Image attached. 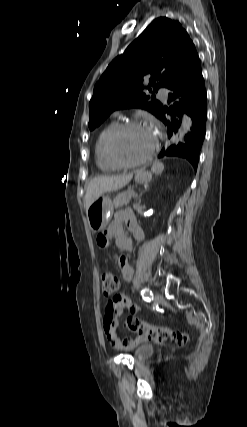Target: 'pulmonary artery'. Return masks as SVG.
Listing matches in <instances>:
<instances>
[{
    "label": "pulmonary artery",
    "mask_w": 247,
    "mask_h": 427,
    "mask_svg": "<svg viewBox=\"0 0 247 427\" xmlns=\"http://www.w3.org/2000/svg\"><path fill=\"white\" fill-rule=\"evenodd\" d=\"M158 95L160 98H162L164 101H166L168 99V91L164 88H161L158 91Z\"/></svg>",
    "instance_id": "1"
}]
</instances>
